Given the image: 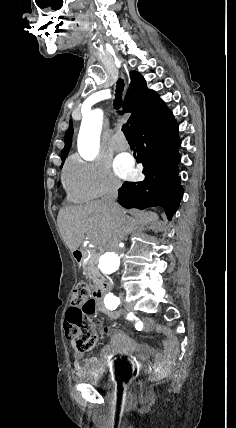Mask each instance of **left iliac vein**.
I'll return each mask as SVG.
<instances>
[{
  "label": "left iliac vein",
  "mask_w": 236,
  "mask_h": 428,
  "mask_svg": "<svg viewBox=\"0 0 236 428\" xmlns=\"http://www.w3.org/2000/svg\"><path fill=\"white\" fill-rule=\"evenodd\" d=\"M119 298H120V301H123V298H124V292H119Z\"/></svg>",
  "instance_id": "obj_1"
}]
</instances>
